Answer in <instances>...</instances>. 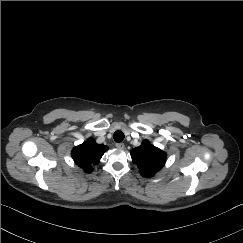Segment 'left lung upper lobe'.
Instances as JSON below:
<instances>
[{
	"mask_svg": "<svg viewBox=\"0 0 243 243\" xmlns=\"http://www.w3.org/2000/svg\"><path fill=\"white\" fill-rule=\"evenodd\" d=\"M133 162L138 166L144 177H152L160 171L166 161V153L144 140L139 147L131 150Z\"/></svg>",
	"mask_w": 243,
	"mask_h": 243,
	"instance_id": "1",
	"label": "left lung upper lobe"
}]
</instances>
